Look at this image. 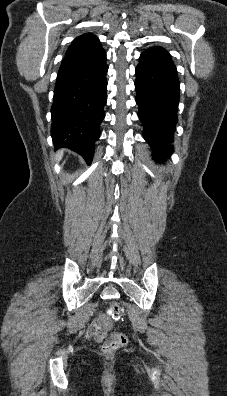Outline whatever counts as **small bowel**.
Returning a JSON list of instances; mask_svg holds the SVG:
<instances>
[{"mask_svg":"<svg viewBox=\"0 0 227 396\" xmlns=\"http://www.w3.org/2000/svg\"><path fill=\"white\" fill-rule=\"evenodd\" d=\"M111 329L110 323L104 316H97L86 330V336L97 342L103 341Z\"/></svg>","mask_w":227,"mask_h":396,"instance_id":"1","label":"small bowel"}]
</instances>
